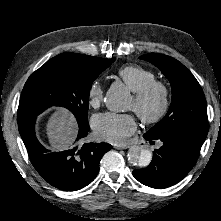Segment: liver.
<instances>
[{
    "label": "liver",
    "mask_w": 221,
    "mask_h": 221,
    "mask_svg": "<svg viewBox=\"0 0 221 221\" xmlns=\"http://www.w3.org/2000/svg\"><path fill=\"white\" fill-rule=\"evenodd\" d=\"M75 118L64 108L57 109L46 124V134L51 147L56 150L68 148L77 135Z\"/></svg>",
    "instance_id": "1"
}]
</instances>
